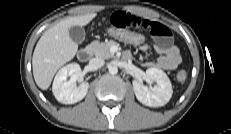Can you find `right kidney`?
<instances>
[{
    "mask_svg": "<svg viewBox=\"0 0 231 134\" xmlns=\"http://www.w3.org/2000/svg\"><path fill=\"white\" fill-rule=\"evenodd\" d=\"M70 79L67 81V77ZM81 81V68L77 63H71L61 68L56 74L52 91L55 98L62 104H74L82 100L89 88L88 82L76 83Z\"/></svg>",
    "mask_w": 231,
    "mask_h": 134,
    "instance_id": "right-kidney-1",
    "label": "right kidney"
}]
</instances>
